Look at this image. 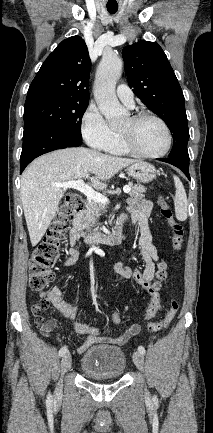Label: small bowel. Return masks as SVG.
<instances>
[{"instance_id":"1","label":"small bowel","mask_w":213,"mask_h":433,"mask_svg":"<svg viewBox=\"0 0 213 433\" xmlns=\"http://www.w3.org/2000/svg\"><path fill=\"white\" fill-rule=\"evenodd\" d=\"M152 204L144 199H132L129 202V216H123L121 222L129 219L131 223L137 224L140 230L139 248L142 258L145 262L142 271L138 269H129L121 263L116 264V270L126 278H133L143 289L151 296V303L147 310V318H152L160 307L159 280L156 274V266L159 260L158 252L153 244L152 234L148 225ZM80 239V234L73 228L69 233V248L68 256L64 260L65 265H73L79 259V251L75 248L76 243ZM49 303L56 309L59 317L69 320L79 335L86 336L85 342L77 349L78 353H84L89 347L96 343L106 342L112 344H122L127 339L121 336H105L100 329L87 324L79 323L74 320L75 308L64 301L63 293L58 287H53L47 292H42ZM113 317V316H112ZM55 321L49 320L45 326L41 327V332L44 336H49L55 328ZM127 331L132 333V336L140 332L138 324L131 325Z\"/></svg>"}]
</instances>
